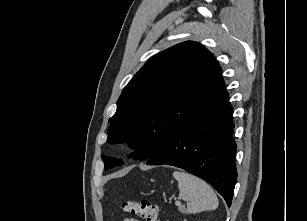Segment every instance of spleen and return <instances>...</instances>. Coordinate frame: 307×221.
Instances as JSON below:
<instances>
[{"mask_svg": "<svg viewBox=\"0 0 307 221\" xmlns=\"http://www.w3.org/2000/svg\"><path fill=\"white\" fill-rule=\"evenodd\" d=\"M178 181L179 197L187 201V212L195 214L218 207V198L213 189L200 178L180 171H174Z\"/></svg>", "mask_w": 307, "mask_h": 221, "instance_id": "3e777b00", "label": "spleen"}]
</instances>
